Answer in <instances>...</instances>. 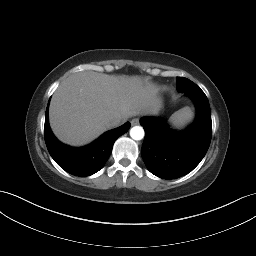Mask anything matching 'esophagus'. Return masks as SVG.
<instances>
[{"instance_id": "obj_1", "label": "esophagus", "mask_w": 256, "mask_h": 256, "mask_svg": "<svg viewBox=\"0 0 256 256\" xmlns=\"http://www.w3.org/2000/svg\"><path fill=\"white\" fill-rule=\"evenodd\" d=\"M131 124H132L133 126L139 124V119H138V118L132 119V120H131Z\"/></svg>"}]
</instances>
